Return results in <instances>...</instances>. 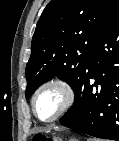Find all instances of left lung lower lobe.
I'll use <instances>...</instances> for the list:
<instances>
[{
	"label": "left lung lower lobe",
	"instance_id": "obj_1",
	"mask_svg": "<svg viewBox=\"0 0 119 141\" xmlns=\"http://www.w3.org/2000/svg\"><path fill=\"white\" fill-rule=\"evenodd\" d=\"M60 123L97 138L119 141V11L98 36L74 104Z\"/></svg>",
	"mask_w": 119,
	"mask_h": 141
}]
</instances>
